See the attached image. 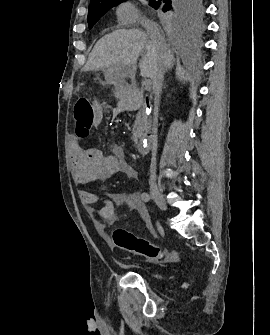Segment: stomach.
<instances>
[{
	"label": "stomach",
	"instance_id": "obj_1",
	"mask_svg": "<svg viewBox=\"0 0 270 335\" xmlns=\"http://www.w3.org/2000/svg\"><path fill=\"white\" fill-rule=\"evenodd\" d=\"M115 74H117V72L114 68H108V70H106V76H111V78H113ZM118 74H120V72H118Z\"/></svg>",
	"mask_w": 270,
	"mask_h": 335
}]
</instances>
